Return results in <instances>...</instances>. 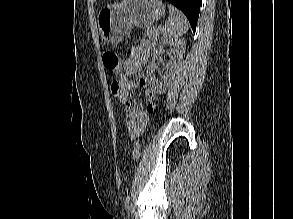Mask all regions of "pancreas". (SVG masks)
I'll use <instances>...</instances> for the list:
<instances>
[{
  "label": "pancreas",
  "mask_w": 293,
  "mask_h": 219,
  "mask_svg": "<svg viewBox=\"0 0 293 219\" xmlns=\"http://www.w3.org/2000/svg\"><path fill=\"white\" fill-rule=\"evenodd\" d=\"M146 34L151 43L154 44L157 41V38L159 37V30L156 27H148L146 30Z\"/></svg>",
  "instance_id": "pancreas-1"
}]
</instances>
